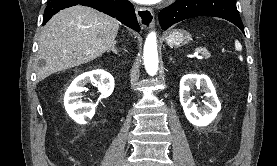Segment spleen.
I'll list each match as a JSON object with an SVG mask.
<instances>
[{
  "instance_id": "spleen-1",
  "label": "spleen",
  "mask_w": 277,
  "mask_h": 166,
  "mask_svg": "<svg viewBox=\"0 0 277 166\" xmlns=\"http://www.w3.org/2000/svg\"><path fill=\"white\" fill-rule=\"evenodd\" d=\"M235 49L237 51H241L242 50V45L240 44V42L238 40L235 41Z\"/></svg>"
}]
</instances>
